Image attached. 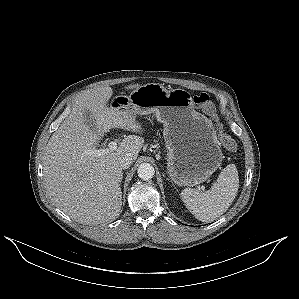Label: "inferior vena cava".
<instances>
[{"label":"inferior vena cava","mask_w":299,"mask_h":299,"mask_svg":"<svg viewBox=\"0 0 299 299\" xmlns=\"http://www.w3.org/2000/svg\"><path fill=\"white\" fill-rule=\"evenodd\" d=\"M133 162V158L130 154H125L124 156L120 157L118 160V165L121 169H127Z\"/></svg>","instance_id":"obj_1"}]
</instances>
